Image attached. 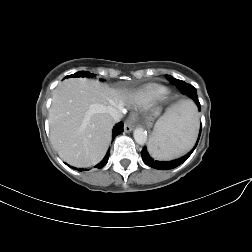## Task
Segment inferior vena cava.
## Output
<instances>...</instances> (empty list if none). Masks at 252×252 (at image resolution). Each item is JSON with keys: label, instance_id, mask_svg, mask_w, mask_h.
<instances>
[{"label": "inferior vena cava", "instance_id": "602c4592", "mask_svg": "<svg viewBox=\"0 0 252 252\" xmlns=\"http://www.w3.org/2000/svg\"><path fill=\"white\" fill-rule=\"evenodd\" d=\"M106 111L113 118L114 122H119L123 117L121 110L113 106H107Z\"/></svg>", "mask_w": 252, "mask_h": 252}]
</instances>
